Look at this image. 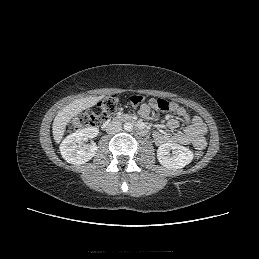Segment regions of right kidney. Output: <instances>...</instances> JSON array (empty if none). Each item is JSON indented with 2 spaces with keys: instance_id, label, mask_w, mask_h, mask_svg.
<instances>
[{
  "instance_id": "ca27d5eb",
  "label": "right kidney",
  "mask_w": 259,
  "mask_h": 259,
  "mask_svg": "<svg viewBox=\"0 0 259 259\" xmlns=\"http://www.w3.org/2000/svg\"><path fill=\"white\" fill-rule=\"evenodd\" d=\"M97 127H88L68 135L60 145L62 157L71 164H83L96 154L97 145L95 143L82 145V142L88 138H94L98 135Z\"/></svg>"
}]
</instances>
